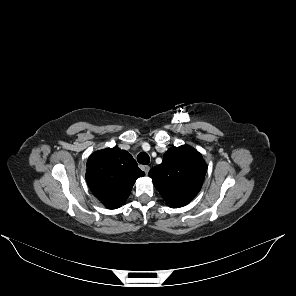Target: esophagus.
<instances>
[{"label":"esophagus","mask_w":296,"mask_h":296,"mask_svg":"<svg viewBox=\"0 0 296 296\" xmlns=\"http://www.w3.org/2000/svg\"><path fill=\"white\" fill-rule=\"evenodd\" d=\"M149 170H150L149 166H144L143 167V171L145 172L146 175L148 174Z\"/></svg>","instance_id":"esophagus-1"}]
</instances>
